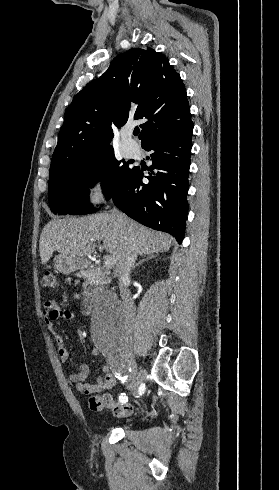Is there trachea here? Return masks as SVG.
Instances as JSON below:
<instances>
[{"instance_id":"obj_1","label":"trachea","mask_w":279,"mask_h":490,"mask_svg":"<svg viewBox=\"0 0 279 490\" xmlns=\"http://www.w3.org/2000/svg\"><path fill=\"white\" fill-rule=\"evenodd\" d=\"M140 130L139 129H135L134 132H133V135L137 136L139 134Z\"/></svg>"}]
</instances>
